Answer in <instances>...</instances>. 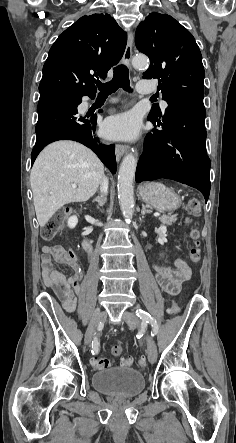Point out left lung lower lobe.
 I'll list each match as a JSON object with an SVG mask.
<instances>
[{
    "mask_svg": "<svg viewBox=\"0 0 236 443\" xmlns=\"http://www.w3.org/2000/svg\"><path fill=\"white\" fill-rule=\"evenodd\" d=\"M162 120H148L162 127L145 138L136 168V182L173 179L197 188L207 202L210 193V159L206 153V110L203 98L185 97L168 104Z\"/></svg>",
    "mask_w": 236,
    "mask_h": 443,
    "instance_id": "obj_1",
    "label": "left lung lower lobe"
}]
</instances>
